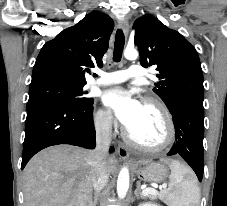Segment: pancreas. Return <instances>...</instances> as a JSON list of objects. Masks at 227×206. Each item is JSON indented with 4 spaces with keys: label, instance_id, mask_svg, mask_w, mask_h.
I'll return each mask as SVG.
<instances>
[{
    "label": "pancreas",
    "instance_id": "obj_1",
    "mask_svg": "<svg viewBox=\"0 0 227 206\" xmlns=\"http://www.w3.org/2000/svg\"><path fill=\"white\" fill-rule=\"evenodd\" d=\"M158 195V194H157ZM157 195H153V194H149V198L150 199H157ZM159 198H161V197H159Z\"/></svg>",
    "mask_w": 227,
    "mask_h": 206
}]
</instances>
